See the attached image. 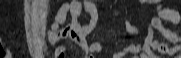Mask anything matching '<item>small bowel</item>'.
I'll list each match as a JSON object with an SVG mask.
<instances>
[{
  "label": "small bowel",
  "instance_id": "1",
  "mask_svg": "<svg viewBox=\"0 0 181 58\" xmlns=\"http://www.w3.org/2000/svg\"><path fill=\"white\" fill-rule=\"evenodd\" d=\"M83 10L91 15L96 13V8L90 1L73 0L64 2L56 12L54 22L48 32V39L50 42L55 43L58 37H69L82 47L85 51L86 58H93L95 53L102 51V47L98 43L88 44L86 42L85 36L92 30V25L81 26L78 23V18ZM68 15H71L72 23L61 29ZM163 21L178 24L181 22V14L174 9L164 7L162 4L158 3L157 16L153 17L148 22L145 32L141 35V41L138 44L129 45L116 52L113 58H123L128 53L133 54L134 58H154L153 51H158L162 54L176 55V58H181V37L169 29H166L162 25ZM126 27L129 33L140 34L138 28L129 23L126 24ZM155 30L162 34V36L173 45L170 46L155 40ZM56 54L57 56L65 55V48L62 46L58 47Z\"/></svg>",
  "mask_w": 181,
  "mask_h": 58
}]
</instances>
